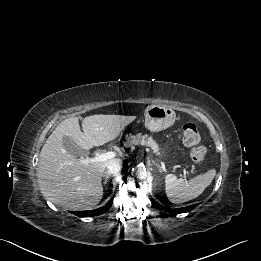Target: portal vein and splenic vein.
<instances>
[{"label": "portal vein and splenic vein", "instance_id": "portal-vein-and-splenic-vein-1", "mask_svg": "<svg viewBox=\"0 0 261 261\" xmlns=\"http://www.w3.org/2000/svg\"><path fill=\"white\" fill-rule=\"evenodd\" d=\"M116 156H117L116 152L109 151V152L97 154L95 157H91V158L86 157L85 159H80V162L87 165L93 162L107 161L109 159L115 158ZM181 176L186 179V172L184 171V174Z\"/></svg>", "mask_w": 261, "mask_h": 261}]
</instances>
